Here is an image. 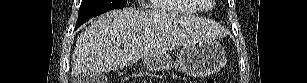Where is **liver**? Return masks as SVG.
Segmentation results:
<instances>
[{"label":"liver","mask_w":307,"mask_h":83,"mask_svg":"<svg viewBox=\"0 0 307 83\" xmlns=\"http://www.w3.org/2000/svg\"><path fill=\"white\" fill-rule=\"evenodd\" d=\"M222 34L223 29L217 24L193 16L111 11L97 17L78 36L72 55V76L122 69L142 57Z\"/></svg>","instance_id":"6515ba94"}]
</instances>
